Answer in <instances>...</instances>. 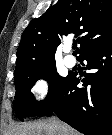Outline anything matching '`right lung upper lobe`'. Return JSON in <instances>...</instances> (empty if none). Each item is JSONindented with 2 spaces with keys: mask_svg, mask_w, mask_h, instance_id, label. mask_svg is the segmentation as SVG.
<instances>
[{
  "mask_svg": "<svg viewBox=\"0 0 112 135\" xmlns=\"http://www.w3.org/2000/svg\"><path fill=\"white\" fill-rule=\"evenodd\" d=\"M69 34L77 38L80 55L112 41V1L58 0L33 19L22 34L14 76L55 62V51Z\"/></svg>",
  "mask_w": 112,
  "mask_h": 135,
  "instance_id": "obj_1",
  "label": "right lung upper lobe"
}]
</instances>
